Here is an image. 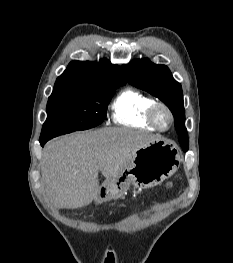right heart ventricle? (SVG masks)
I'll use <instances>...</instances> for the list:
<instances>
[{
  "label": "right heart ventricle",
  "mask_w": 233,
  "mask_h": 263,
  "mask_svg": "<svg viewBox=\"0 0 233 263\" xmlns=\"http://www.w3.org/2000/svg\"><path fill=\"white\" fill-rule=\"evenodd\" d=\"M155 100L149 95L133 89L122 90L111 105L112 121L119 125L155 131L148 121L147 112Z\"/></svg>",
  "instance_id": "right-heart-ventricle-1"
}]
</instances>
